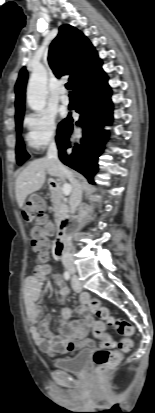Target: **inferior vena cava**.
Returning a JSON list of instances; mask_svg holds the SVG:
<instances>
[{"label":"inferior vena cava","instance_id":"inferior-vena-cava-1","mask_svg":"<svg viewBox=\"0 0 155 413\" xmlns=\"http://www.w3.org/2000/svg\"><path fill=\"white\" fill-rule=\"evenodd\" d=\"M47 158L48 160L54 164L61 175L65 176L70 180V182L73 184V192L70 197V212L71 214H74L77 207L81 203V197H82V186L77 182V180L74 178L73 174L71 171H69L58 159V149L56 142L54 140L51 141L48 151H47ZM62 262L64 266L71 272L75 273L76 272V267L74 265V259L72 254L68 249H66L63 253L62 256Z\"/></svg>","mask_w":155,"mask_h":413}]
</instances>
